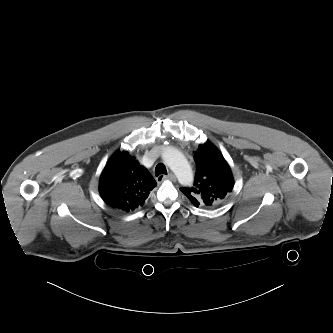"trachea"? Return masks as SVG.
<instances>
[{
    "mask_svg": "<svg viewBox=\"0 0 333 333\" xmlns=\"http://www.w3.org/2000/svg\"><path fill=\"white\" fill-rule=\"evenodd\" d=\"M161 174H167V169L164 164L159 163V164H157V166L155 168V175L159 176Z\"/></svg>",
    "mask_w": 333,
    "mask_h": 333,
    "instance_id": "obj_1",
    "label": "trachea"
}]
</instances>
